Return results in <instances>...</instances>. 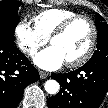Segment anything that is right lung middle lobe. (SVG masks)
Returning a JSON list of instances; mask_svg holds the SVG:
<instances>
[{
  "mask_svg": "<svg viewBox=\"0 0 108 108\" xmlns=\"http://www.w3.org/2000/svg\"><path fill=\"white\" fill-rule=\"evenodd\" d=\"M20 1L4 0L0 2V36L14 42V31L19 21Z\"/></svg>",
  "mask_w": 108,
  "mask_h": 108,
  "instance_id": "dd1d6c3e",
  "label": "right lung middle lobe"
}]
</instances>
